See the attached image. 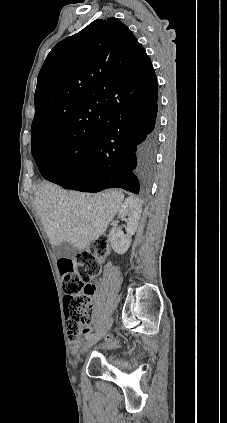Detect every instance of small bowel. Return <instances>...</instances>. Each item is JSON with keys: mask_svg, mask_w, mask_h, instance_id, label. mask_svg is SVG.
I'll use <instances>...</instances> for the list:
<instances>
[{"mask_svg": "<svg viewBox=\"0 0 227 423\" xmlns=\"http://www.w3.org/2000/svg\"><path fill=\"white\" fill-rule=\"evenodd\" d=\"M94 289H95V287L93 286V292H94ZM88 331H89V329L86 328L85 330H83V333L87 334ZM71 348H72L73 352H76L78 350V348H79V340L78 339L71 342Z\"/></svg>", "mask_w": 227, "mask_h": 423, "instance_id": "c3829d8e", "label": "small bowel"}]
</instances>
